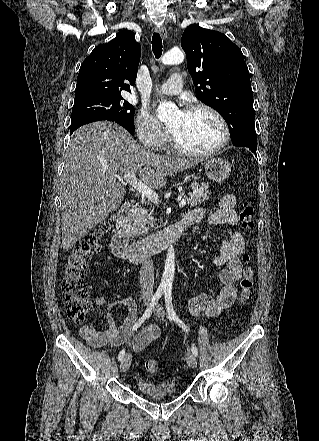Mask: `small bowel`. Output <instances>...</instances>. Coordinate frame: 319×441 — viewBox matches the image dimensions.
<instances>
[{"mask_svg": "<svg viewBox=\"0 0 319 441\" xmlns=\"http://www.w3.org/2000/svg\"><path fill=\"white\" fill-rule=\"evenodd\" d=\"M235 206L236 197L234 195H224L220 199L217 208L207 216V224L236 226L239 223V217L235 211ZM205 215L206 209L196 208L188 212L182 222L188 228L203 221ZM244 248V237L238 231L233 232L222 242L220 254L212 260L214 265L221 267L217 277L222 286L214 295L201 293L192 297L188 305L193 315L217 317L234 304L237 297L236 282L241 278L242 271L240 256ZM94 303L101 306L105 303V299L101 295H96ZM119 305L126 308V316L122 323L118 325L111 311ZM107 311V325L105 328L97 330L90 325L80 328V335L90 345L94 347H105L107 345L119 347L126 344L134 352H140L158 339L160 330L156 325H148L135 337L130 338L137 316V304L134 297L128 295L109 303Z\"/></svg>", "mask_w": 319, "mask_h": 441, "instance_id": "1", "label": "small bowel"}]
</instances>
